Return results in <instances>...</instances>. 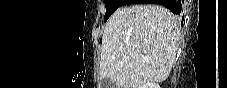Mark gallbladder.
Returning <instances> with one entry per match:
<instances>
[{
  "mask_svg": "<svg viewBox=\"0 0 227 88\" xmlns=\"http://www.w3.org/2000/svg\"><path fill=\"white\" fill-rule=\"evenodd\" d=\"M100 87L101 88H113L114 84L109 78H104L101 80Z\"/></svg>",
  "mask_w": 227,
  "mask_h": 88,
  "instance_id": "1",
  "label": "gallbladder"
}]
</instances>
